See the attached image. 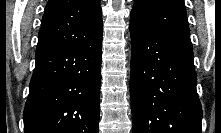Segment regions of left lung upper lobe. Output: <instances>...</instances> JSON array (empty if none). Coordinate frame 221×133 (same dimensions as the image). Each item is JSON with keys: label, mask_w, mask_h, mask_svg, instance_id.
<instances>
[{"label": "left lung upper lobe", "mask_w": 221, "mask_h": 133, "mask_svg": "<svg viewBox=\"0 0 221 133\" xmlns=\"http://www.w3.org/2000/svg\"><path fill=\"white\" fill-rule=\"evenodd\" d=\"M130 25L190 38L183 0H134Z\"/></svg>", "instance_id": "obj_1"}]
</instances>
